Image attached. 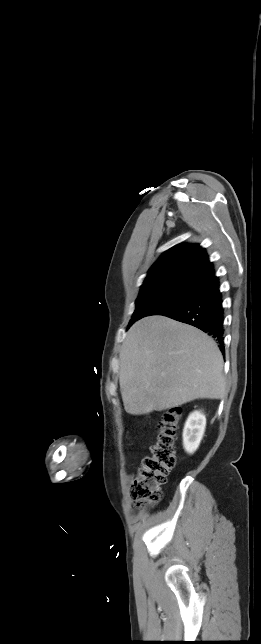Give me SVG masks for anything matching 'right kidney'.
Wrapping results in <instances>:
<instances>
[{"instance_id":"ca27d5eb","label":"right kidney","mask_w":261,"mask_h":644,"mask_svg":"<svg viewBox=\"0 0 261 644\" xmlns=\"http://www.w3.org/2000/svg\"><path fill=\"white\" fill-rule=\"evenodd\" d=\"M206 417L201 411L192 412L183 429V446L187 453H194L203 438Z\"/></svg>"}]
</instances>
